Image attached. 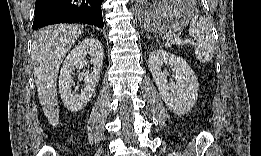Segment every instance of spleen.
Masks as SVG:
<instances>
[{
    "mask_svg": "<svg viewBox=\"0 0 261 156\" xmlns=\"http://www.w3.org/2000/svg\"><path fill=\"white\" fill-rule=\"evenodd\" d=\"M193 12L195 14L191 18L189 32L197 41V47H195L197 59L205 63L213 57L215 41L207 19L199 15L197 8Z\"/></svg>",
    "mask_w": 261,
    "mask_h": 156,
    "instance_id": "spleen-1",
    "label": "spleen"
}]
</instances>
